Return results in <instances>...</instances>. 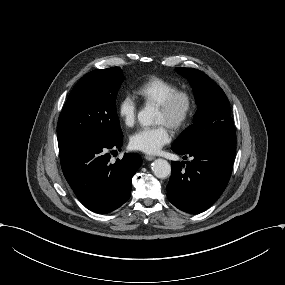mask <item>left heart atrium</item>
I'll list each match as a JSON object with an SVG mask.
<instances>
[{
    "label": "left heart atrium",
    "mask_w": 285,
    "mask_h": 285,
    "mask_svg": "<svg viewBox=\"0 0 285 285\" xmlns=\"http://www.w3.org/2000/svg\"><path fill=\"white\" fill-rule=\"evenodd\" d=\"M170 140V129L165 123H160L155 127L144 128L130 139L131 145L146 153H155Z\"/></svg>",
    "instance_id": "obj_1"
}]
</instances>
